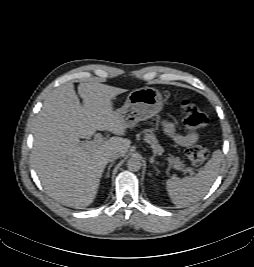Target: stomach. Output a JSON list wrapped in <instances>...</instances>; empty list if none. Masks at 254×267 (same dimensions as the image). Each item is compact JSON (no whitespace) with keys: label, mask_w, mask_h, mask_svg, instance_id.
I'll list each match as a JSON object with an SVG mask.
<instances>
[{"label":"stomach","mask_w":254,"mask_h":267,"mask_svg":"<svg viewBox=\"0 0 254 267\" xmlns=\"http://www.w3.org/2000/svg\"><path fill=\"white\" fill-rule=\"evenodd\" d=\"M163 105L161 93L153 87L146 86L131 91L124 105L116 112L127 126L131 127L160 113Z\"/></svg>","instance_id":"0dacf381"}]
</instances>
